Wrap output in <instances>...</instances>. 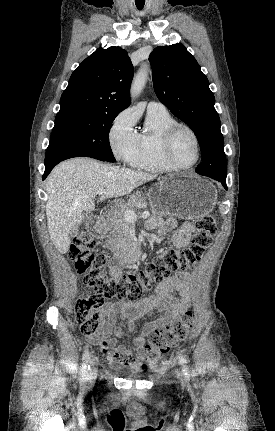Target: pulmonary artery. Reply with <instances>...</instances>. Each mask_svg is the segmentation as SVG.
<instances>
[{
	"instance_id": "obj_1",
	"label": "pulmonary artery",
	"mask_w": 275,
	"mask_h": 431,
	"mask_svg": "<svg viewBox=\"0 0 275 431\" xmlns=\"http://www.w3.org/2000/svg\"><path fill=\"white\" fill-rule=\"evenodd\" d=\"M147 109L148 110H166V107L160 102L150 101L148 103Z\"/></svg>"
}]
</instances>
